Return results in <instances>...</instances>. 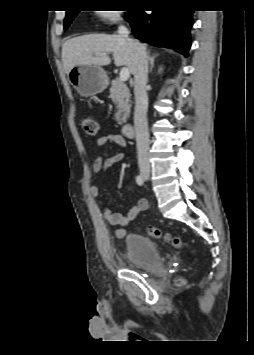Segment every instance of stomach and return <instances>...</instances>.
<instances>
[{
    "label": "stomach",
    "instance_id": "stomach-1",
    "mask_svg": "<svg viewBox=\"0 0 254 355\" xmlns=\"http://www.w3.org/2000/svg\"><path fill=\"white\" fill-rule=\"evenodd\" d=\"M69 83L85 97L101 93L108 85V77L101 66L82 64L68 73Z\"/></svg>",
    "mask_w": 254,
    "mask_h": 355
}]
</instances>
